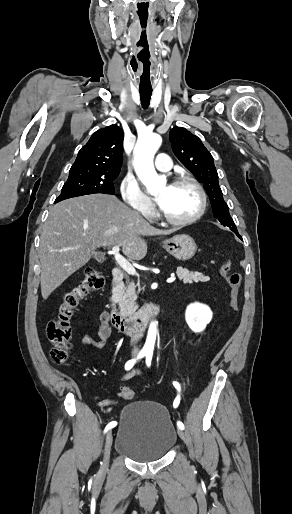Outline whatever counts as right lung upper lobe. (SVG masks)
Here are the masks:
<instances>
[{
	"instance_id": "1",
	"label": "right lung upper lobe",
	"mask_w": 292,
	"mask_h": 514,
	"mask_svg": "<svg viewBox=\"0 0 292 514\" xmlns=\"http://www.w3.org/2000/svg\"><path fill=\"white\" fill-rule=\"evenodd\" d=\"M123 130L110 125L96 131L78 152L69 174L118 175L123 162Z\"/></svg>"
}]
</instances>
